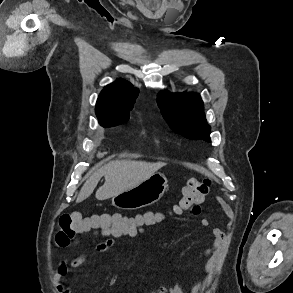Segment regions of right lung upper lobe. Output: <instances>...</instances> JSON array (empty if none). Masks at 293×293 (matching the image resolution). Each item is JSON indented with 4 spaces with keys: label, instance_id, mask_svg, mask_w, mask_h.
Here are the masks:
<instances>
[{
    "label": "right lung upper lobe",
    "instance_id": "right-lung-upper-lobe-1",
    "mask_svg": "<svg viewBox=\"0 0 293 293\" xmlns=\"http://www.w3.org/2000/svg\"><path fill=\"white\" fill-rule=\"evenodd\" d=\"M138 89L129 82L117 79L100 93L96 103L98 119L112 116H128L138 96Z\"/></svg>",
    "mask_w": 293,
    "mask_h": 293
}]
</instances>
